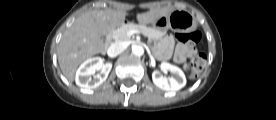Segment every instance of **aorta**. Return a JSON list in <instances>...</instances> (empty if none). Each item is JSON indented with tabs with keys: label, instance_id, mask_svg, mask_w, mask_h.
<instances>
[{
	"label": "aorta",
	"instance_id": "obj_1",
	"mask_svg": "<svg viewBox=\"0 0 276 120\" xmlns=\"http://www.w3.org/2000/svg\"><path fill=\"white\" fill-rule=\"evenodd\" d=\"M132 53L135 56H142L144 54V48L141 45H134L132 47Z\"/></svg>",
	"mask_w": 276,
	"mask_h": 120
}]
</instances>
